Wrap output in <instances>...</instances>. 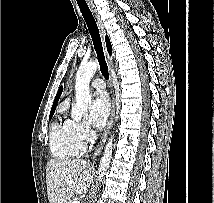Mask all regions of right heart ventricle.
I'll use <instances>...</instances> for the list:
<instances>
[{
    "label": "right heart ventricle",
    "instance_id": "1",
    "mask_svg": "<svg viewBox=\"0 0 214 203\" xmlns=\"http://www.w3.org/2000/svg\"><path fill=\"white\" fill-rule=\"evenodd\" d=\"M50 150L58 160H69L79 156L84 151V143L78 138L74 121L59 117L50 130Z\"/></svg>",
    "mask_w": 214,
    "mask_h": 203
}]
</instances>
